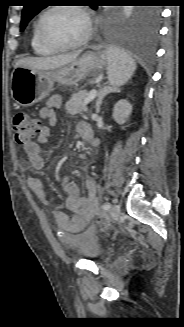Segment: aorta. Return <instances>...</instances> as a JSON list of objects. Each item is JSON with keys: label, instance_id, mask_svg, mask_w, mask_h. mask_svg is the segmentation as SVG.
<instances>
[{"label": "aorta", "instance_id": "1", "mask_svg": "<svg viewBox=\"0 0 184 327\" xmlns=\"http://www.w3.org/2000/svg\"><path fill=\"white\" fill-rule=\"evenodd\" d=\"M132 12H133V8L131 6H125L122 9V14L127 18L132 15Z\"/></svg>", "mask_w": 184, "mask_h": 327}]
</instances>
